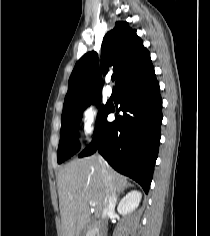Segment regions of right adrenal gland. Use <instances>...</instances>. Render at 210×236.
<instances>
[{
  "label": "right adrenal gland",
  "mask_w": 210,
  "mask_h": 236,
  "mask_svg": "<svg viewBox=\"0 0 210 236\" xmlns=\"http://www.w3.org/2000/svg\"><path fill=\"white\" fill-rule=\"evenodd\" d=\"M131 186H132L131 184H128V185H127V187H131ZM121 193H123V190L118 193L116 203L118 202L119 196H120Z\"/></svg>",
  "instance_id": "2a0ac1e0"
}]
</instances>
